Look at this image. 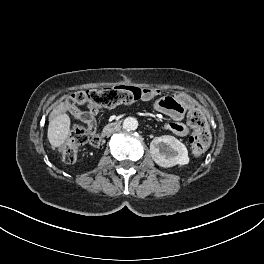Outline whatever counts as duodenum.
<instances>
[{"label":"duodenum","instance_id":"1","mask_svg":"<svg viewBox=\"0 0 264 264\" xmlns=\"http://www.w3.org/2000/svg\"><path fill=\"white\" fill-rule=\"evenodd\" d=\"M118 126H119V121H113V122L107 124V125L104 127V129H103V131H102V133H101V135H100L99 138L101 139V138H103L104 136L108 135L109 132H110L111 130H114V129L117 128Z\"/></svg>","mask_w":264,"mask_h":264}]
</instances>
